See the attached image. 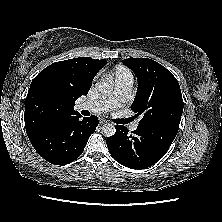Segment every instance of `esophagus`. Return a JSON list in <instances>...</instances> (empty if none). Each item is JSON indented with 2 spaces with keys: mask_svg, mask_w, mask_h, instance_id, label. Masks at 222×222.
<instances>
[{
  "mask_svg": "<svg viewBox=\"0 0 222 222\" xmlns=\"http://www.w3.org/2000/svg\"><path fill=\"white\" fill-rule=\"evenodd\" d=\"M105 123H107L106 120H103V119L100 120V124H105Z\"/></svg>",
  "mask_w": 222,
  "mask_h": 222,
  "instance_id": "obj_1",
  "label": "esophagus"
}]
</instances>
